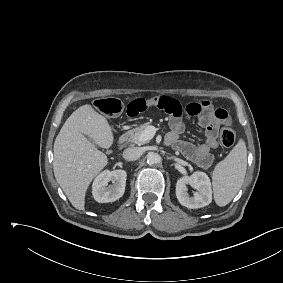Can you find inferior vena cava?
Segmentation results:
<instances>
[{"label":"inferior vena cava","instance_id":"1","mask_svg":"<svg viewBox=\"0 0 283 283\" xmlns=\"http://www.w3.org/2000/svg\"><path fill=\"white\" fill-rule=\"evenodd\" d=\"M142 155L139 147H129L123 152V158L127 161H135Z\"/></svg>","mask_w":283,"mask_h":283}]
</instances>
